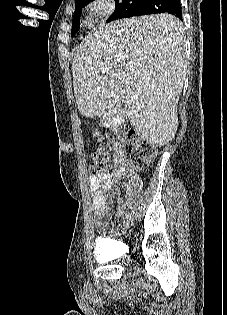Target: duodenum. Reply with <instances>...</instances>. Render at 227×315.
Listing matches in <instances>:
<instances>
[{"label": "duodenum", "instance_id": "410a0bca", "mask_svg": "<svg viewBox=\"0 0 227 315\" xmlns=\"http://www.w3.org/2000/svg\"><path fill=\"white\" fill-rule=\"evenodd\" d=\"M106 120L110 125H117L120 122L121 118L117 114L109 113L106 115Z\"/></svg>", "mask_w": 227, "mask_h": 315}]
</instances>
